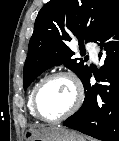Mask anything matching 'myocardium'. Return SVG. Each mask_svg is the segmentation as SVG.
Instances as JSON below:
<instances>
[{
	"instance_id": "obj_1",
	"label": "myocardium",
	"mask_w": 119,
	"mask_h": 141,
	"mask_svg": "<svg viewBox=\"0 0 119 141\" xmlns=\"http://www.w3.org/2000/svg\"><path fill=\"white\" fill-rule=\"evenodd\" d=\"M66 78L68 79L74 89V100L72 105L70 106V108L63 113L62 115L56 117V118H52V119H48L43 117L39 110H38V96L39 93L41 91V89L44 87V85H46L49 81L55 79V78ZM83 97H84V92H83V88L82 85L79 81V79L76 77V75L70 71H58V72H54L48 76H46L45 78H43L39 84L36 86L34 92H33V96H32V109H33V113L34 116L37 117L39 120L43 121V122H47V123H54V122H59L62 121L68 117H70L71 115H73L81 106L82 102H83Z\"/></svg>"
}]
</instances>
